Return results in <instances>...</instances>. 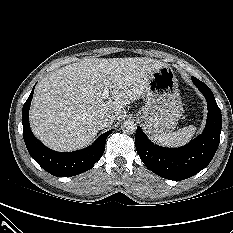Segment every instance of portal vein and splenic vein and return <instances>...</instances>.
Masks as SVG:
<instances>
[{
  "mask_svg": "<svg viewBox=\"0 0 233 233\" xmlns=\"http://www.w3.org/2000/svg\"><path fill=\"white\" fill-rule=\"evenodd\" d=\"M104 85H105V88H104V90L102 92V98L107 99L109 97V87L111 85V82L108 81V80H105Z\"/></svg>",
  "mask_w": 233,
  "mask_h": 233,
  "instance_id": "18ae733b",
  "label": "portal vein and splenic vein"
}]
</instances>
